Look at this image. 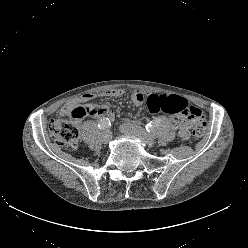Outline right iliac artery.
Instances as JSON below:
<instances>
[{
	"label": "right iliac artery",
	"mask_w": 248,
	"mask_h": 248,
	"mask_svg": "<svg viewBox=\"0 0 248 248\" xmlns=\"http://www.w3.org/2000/svg\"><path fill=\"white\" fill-rule=\"evenodd\" d=\"M110 125L111 123L108 118H103L98 123V127L100 130H106L107 128H109Z\"/></svg>",
	"instance_id": "1"
}]
</instances>
